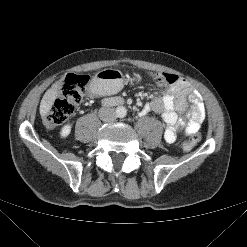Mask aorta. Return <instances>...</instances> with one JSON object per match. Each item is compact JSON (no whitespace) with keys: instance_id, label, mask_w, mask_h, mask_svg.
Here are the masks:
<instances>
[{"instance_id":"aorta-1","label":"aorta","mask_w":247,"mask_h":247,"mask_svg":"<svg viewBox=\"0 0 247 247\" xmlns=\"http://www.w3.org/2000/svg\"><path fill=\"white\" fill-rule=\"evenodd\" d=\"M115 113H116V116H117V117L123 118V117L126 116L127 110H126V108H125L124 106H118V107L116 108Z\"/></svg>"}]
</instances>
